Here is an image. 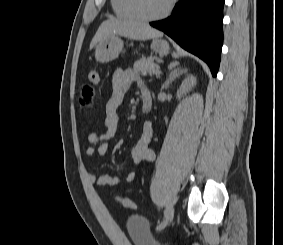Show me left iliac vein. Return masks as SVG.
Here are the masks:
<instances>
[{"mask_svg": "<svg viewBox=\"0 0 283 245\" xmlns=\"http://www.w3.org/2000/svg\"><path fill=\"white\" fill-rule=\"evenodd\" d=\"M173 216H174V207L173 205L170 204L166 209L164 224L162 225L161 229H164L170 223V221L173 219Z\"/></svg>", "mask_w": 283, "mask_h": 245, "instance_id": "obj_1", "label": "left iliac vein"}]
</instances>
